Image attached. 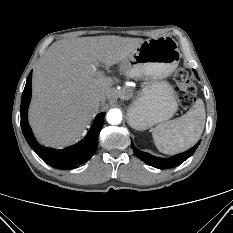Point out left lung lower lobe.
<instances>
[{
    "instance_id": "obj_1",
    "label": "left lung lower lobe",
    "mask_w": 233,
    "mask_h": 233,
    "mask_svg": "<svg viewBox=\"0 0 233 233\" xmlns=\"http://www.w3.org/2000/svg\"><path fill=\"white\" fill-rule=\"evenodd\" d=\"M195 75L198 77L196 71L194 70ZM200 144L197 143L194 147H192L191 149H189L188 151L175 155L173 157H170L168 159H164V158H158L155 156H152L149 153L146 152H142L140 150H138L132 143V148L135 152V154L146 164L151 165L155 168L158 169H169V168H173L176 167L178 165H180L182 162H184L185 160H187L197 149L198 145Z\"/></svg>"
}]
</instances>
